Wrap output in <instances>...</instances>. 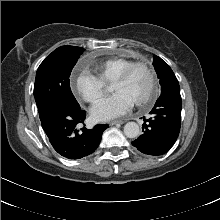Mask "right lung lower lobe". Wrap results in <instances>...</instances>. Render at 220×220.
<instances>
[{"mask_svg": "<svg viewBox=\"0 0 220 220\" xmlns=\"http://www.w3.org/2000/svg\"><path fill=\"white\" fill-rule=\"evenodd\" d=\"M86 112L80 106H58L40 117L42 127L53 148L68 159H80L93 153L101 141L103 131L109 126L98 124L93 129L81 128Z\"/></svg>", "mask_w": 220, "mask_h": 220, "instance_id": "obj_1", "label": "right lung lower lobe"}]
</instances>
